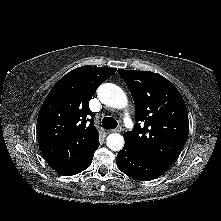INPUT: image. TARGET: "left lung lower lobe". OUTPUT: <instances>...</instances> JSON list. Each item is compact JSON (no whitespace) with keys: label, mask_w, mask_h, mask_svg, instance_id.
<instances>
[{"label":"left lung lower lobe","mask_w":221,"mask_h":221,"mask_svg":"<svg viewBox=\"0 0 221 221\" xmlns=\"http://www.w3.org/2000/svg\"><path fill=\"white\" fill-rule=\"evenodd\" d=\"M117 167L126 175L140 180H153L164 174L169 168L154 162L124 145L116 157Z\"/></svg>","instance_id":"1"}]
</instances>
